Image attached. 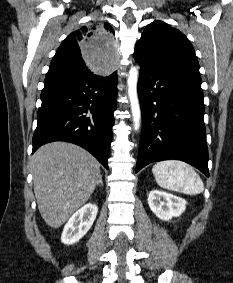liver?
Masks as SVG:
<instances>
[{
    "instance_id": "1",
    "label": "liver",
    "mask_w": 233,
    "mask_h": 283,
    "mask_svg": "<svg viewBox=\"0 0 233 283\" xmlns=\"http://www.w3.org/2000/svg\"><path fill=\"white\" fill-rule=\"evenodd\" d=\"M31 166L39 212L52 228L63 225L99 184V162L75 144H45L32 156Z\"/></svg>"
}]
</instances>
